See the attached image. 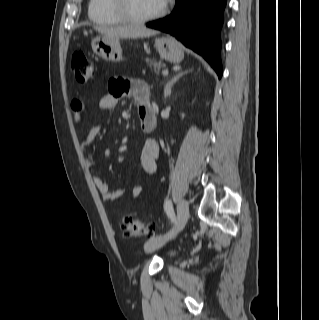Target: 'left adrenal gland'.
I'll use <instances>...</instances> for the list:
<instances>
[{
    "mask_svg": "<svg viewBox=\"0 0 319 320\" xmlns=\"http://www.w3.org/2000/svg\"><path fill=\"white\" fill-rule=\"evenodd\" d=\"M189 71L179 72L178 74L174 75L170 80L167 81L164 89V97L167 98L171 94V89L173 85L182 77L184 74L188 73Z\"/></svg>",
    "mask_w": 319,
    "mask_h": 320,
    "instance_id": "1",
    "label": "left adrenal gland"
}]
</instances>
